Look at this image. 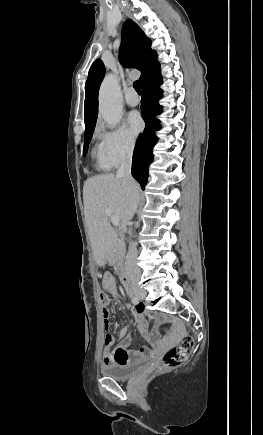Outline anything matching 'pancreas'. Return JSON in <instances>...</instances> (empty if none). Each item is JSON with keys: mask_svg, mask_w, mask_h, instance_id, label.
<instances>
[{"mask_svg": "<svg viewBox=\"0 0 263 435\" xmlns=\"http://www.w3.org/2000/svg\"><path fill=\"white\" fill-rule=\"evenodd\" d=\"M123 260H124V248L122 246L121 240L117 239L114 247L110 251L109 261L111 264L115 266L117 272H119L120 270H122Z\"/></svg>", "mask_w": 263, "mask_h": 435, "instance_id": "cf45deb5", "label": "pancreas"}]
</instances>
